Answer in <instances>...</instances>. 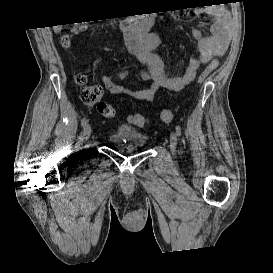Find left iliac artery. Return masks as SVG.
I'll return each instance as SVG.
<instances>
[{
  "instance_id": "obj_1",
  "label": "left iliac artery",
  "mask_w": 273,
  "mask_h": 273,
  "mask_svg": "<svg viewBox=\"0 0 273 273\" xmlns=\"http://www.w3.org/2000/svg\"><path fill=\"white\" fill-rule=\"evenodd\" d=\"M176 132L178 136H181V128L179 126L176 127Z\"/></svg>"
}]
</instances>
